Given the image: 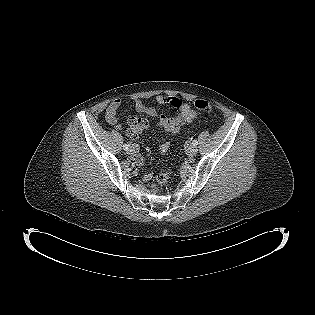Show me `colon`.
I'll list each match as a JSON object with an SVG mask.
<instances>
[{"instance_id": "obj_1", "label": "colon", "mask_w": 315, "mask_h": 315, "mask_svg": "<svg viewBox=\"0 0 315 315\" xmlns=\"http://www.w3.org/2000/svg\"><path fill=\"white\" fill-rule=\"evenodd\" d=\"M194 107L197 110L202 111L203 113H205L207 115L212 112L211 104L208 101L203 100V99L195 100ZM141 120L142 119H139V118H131L130 119V126L134 123L140 122ZM168 178H169L168 172L159 173L156 177V184L153 186L154 190H158L160 187H162L167 182Z\"/></svg>"}]
</instances>
